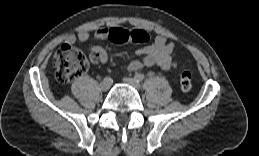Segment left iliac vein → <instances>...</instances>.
Returning a JSON list of instances; mask_svg holds the SVG:
<instances>
[{"mask_svg":"<svg viewBox=\"0 0 259 156\" xmlns=\"http://www.w3.org/2000/svg\"><path fill=\"white\" fill-rule=\"evenodd\" d=\"M123 81H124L126 84H128V85L134 87V88L137 89V90H139V89L141 88V85H140L139 81H137V80L134 79V78L125 77V78H123Z\"/></svg>","mask_w":259,"mask_h":156,"instance_id":"1","label":"left iliac vein"}]
</instances>
